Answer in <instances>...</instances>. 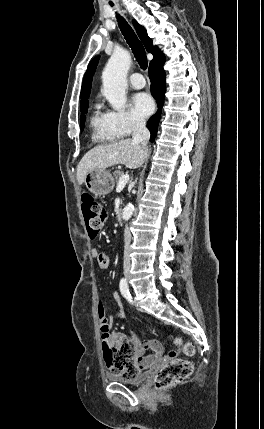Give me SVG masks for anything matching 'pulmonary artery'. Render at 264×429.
Masks as SVG:
<instances>
[{
    "mask_svg": "<svg viewBox=\"0 0 264 429\" xmlns=\"http://www.w3.org/2000/svg\"><path fill=\"white\" fill-rule=\"evenodd\" d=\"M130 85L135 89H141L145 86V79L140 73H133L129 77Z\"/></svg>",
    "mask_w": 264,
    "mask_h": 429,
    "instance_id": "pulmonary-artery-1",
    "label": "pulmonary artery"
}]
</instances>
